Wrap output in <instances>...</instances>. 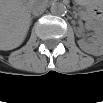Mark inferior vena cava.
I'll return each instance as SVG.
<instances>
[{"label": "inferior vena cava", "instance_id": "inferior-vena-cava-1", "mask_svg": "<svg viewBox=\"0 0 103 103\" xmlns=\"http://www.w3.org/2000/svg\"><path fill=\"white\" fill-rule=\"evenodd\" d=\"M47 6L44 1H34L30 7V11L34 16L41 15L46 10Z\"/></svg>", "mask_w": 103, "mask_h": 103}]
</instances>
